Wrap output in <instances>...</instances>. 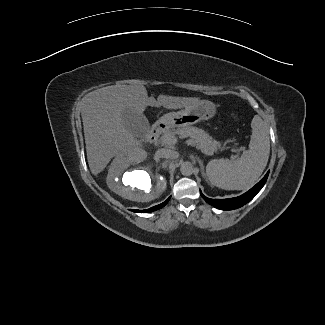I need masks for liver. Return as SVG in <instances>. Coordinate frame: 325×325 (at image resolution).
Instances as JSON below:
<instances>
[{
    "instance_id": "obj_1",
    "label": "liver",
    "mask_w": 325,
    "mask_h": 325,
    "mask_svg": "<svg viewBox=\"0 0 325 325\" xmlns=\"http://www.w3.org/2000/svg\"><path fill=\"white\" fill-rule=\"evenodd\" d=\"M197 97L159 95L148 97L143 85H112L83 98L81 110L89 168L94 175L104 170L114 156L144 159L142 143L124 125L122 114L131 109L143 114L147 106L180 109L195 105Z\"/></svg>"
}]
</instances>
